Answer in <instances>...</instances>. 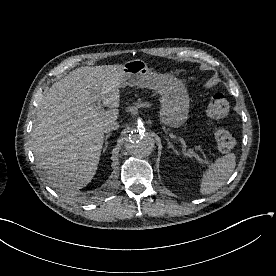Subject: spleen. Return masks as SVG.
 <instances>
[{
	"label": "spleen",
	"instance_id": "spleen-1",
	"mask_svg": "<svg viewBox=\"0 0 276 276\" xmlns=\"http://www.w3.org/2000/svg\"><path fill=\"white\" fill-rule=\"evenodd\" d=\"M236 156L229 153L216 159L215 163L203 175L200 192L211 194L222 187L233 173L236 166Z\"/></svg>",
	"mask_w": 276,
	"mask_h": 276
}]
</instances>
